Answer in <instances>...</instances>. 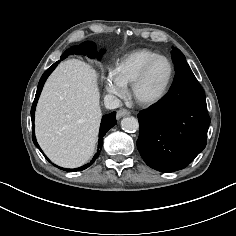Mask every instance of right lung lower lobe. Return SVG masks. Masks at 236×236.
Wrapping results in <instances>:
<instances>
[{
  "mask_svg": "<svg viewBox=\"0 0 236 236\" xmlns=\"http://www.w3.org/2000/svg\"><path fill=\"white\" fill-rule=\"evenodd\" d=\"M95 49H96V46L91 41L84 42L80 46H73L70 49L66 50L65 53L61 55L60 60L57 61L56 63H54L42 75V77L39 81L37 92H36V95H35V99H34V102H33L32 108H31V118H32V128H33L32 137H33L34 144L39 149H40V147H39V145L36 141L35 134H34V115H35L36 104H37L38 98L40 96V93L42 91V88H43V85H44L46 79L51 74V72L56 68V66L60 63V61L64 60L68 55H70L72 53L73 54H84V55H88V57L101 58V55H102V53H104V50H102L101 52H99L97 54ZM116 123H117V121H116V112H112L110 114H107V115L103 116L101 126H100V131H99L98 152L95 154V156L93 157V159L90 163H88L87 165H84L82 167L76 168V169H65V168H60V169L65 170V171L75 172V171L84 170V169L88 168L91 164H93V162L98 158V156L100 154L104 135L108 132V130L110 128H112L114 125H116ZM40 151H41V149H40Z\"/></svg>",
  "mask_w": 236,
  "mask_h": 236,
  "instance_id": "1",
  "label": "right lung lower lobe"
}]
</instances>
